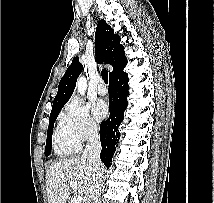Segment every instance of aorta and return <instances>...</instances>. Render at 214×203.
Returning a JSON list of instances; mask_svg holds the SVG:
<instances>
[{"label":"aorta","mask_w":214,"mask_h":203,"mask_svg":"<svg viewBox=\"0 0 214 203\" xmlns=\"http://www.w3.org/2000/svg\"><path fill=\"white\" fill-rule=\"evenodd\" d=\"M76 89L81 95H85L87 89V79L84 76H80L78 78Z\"/></svg>","instance_id":"obj_1"}]
</instances>
